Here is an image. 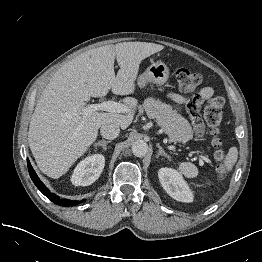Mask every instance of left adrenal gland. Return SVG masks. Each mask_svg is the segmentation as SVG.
Returning <instances> with one entry per match:
<instances>
[{
	"mask_svg": "<svg viewBox=\"0 0 262 262\" xmlns=\"http://www.w3.org/2000/svg\"><path fill=\"white\" fill-rule=\"evenodd\" d=\"M159 149L157 155H156V158H158L159 156H165L166 158L170 159L171 157L165 153V151L163 150V148L159 145V143L156 145Z\"/></svg>",
	"mask_w": 262,
	"mask_h": 262,
	"instance_id": "left-adrenal-gland-1",
	"label": "left adrenal gland"
}]
</instances>
